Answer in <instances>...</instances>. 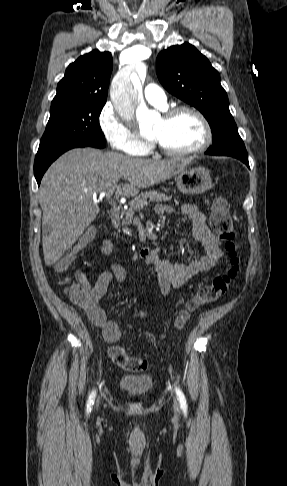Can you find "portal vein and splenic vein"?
Masks as SVG:
<instances>
[{"label": "portal vein and splenic vein", "mask_w": 287, "mask_h": 486, "mask_svg": "<svg viewBox=\"0 0 287 486\" xmlns=\"http://www.w3.org/2000/svg\"><path fill=\"white\" fill-rule=\"evenodd\" d=\"M115 189H116V186H114L113 188H111L110 190H108L106 192H102L101 195L105 196L107 199H109L113 195Z\"/></svg>", "instance_id": "portal-vein-and-splenic-vein-1"}]
</instances>
